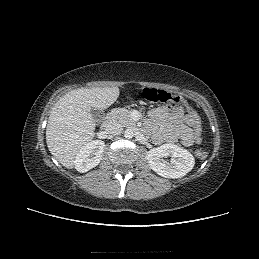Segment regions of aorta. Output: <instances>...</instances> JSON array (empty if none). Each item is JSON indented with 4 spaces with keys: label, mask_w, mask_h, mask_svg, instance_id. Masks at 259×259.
Returning a JSON list of instances; mask_svg holds the SVG:
<instances>
[{
    "label": "aorta",
    "mask_w": 259,
    "mask_h": 259,
    "mask_svg": "<svg viewBox=\"0 0 259 259\" xmlns=\"http://www.w3.org/2000/svg\"><path fill=\"white\" fill-rule=\"evenodd\" d=\"M134 136V132L132 129H126L124 132V137L127 139H131Z\"/></svg>",
    "instance_id": "aorta-1"
}]
</instances>
